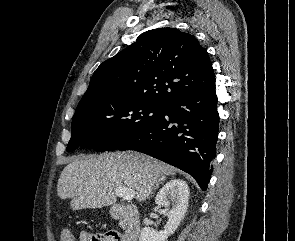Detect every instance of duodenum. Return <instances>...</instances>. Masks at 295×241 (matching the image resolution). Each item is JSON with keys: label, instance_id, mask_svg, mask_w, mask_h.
Returning <instances> with one entry per match:
<instances>
[{"label": "duodenum", "instance_id": "duodenum-1", "mask_svg": "<svg viewBox=\"0 0 295 241\" xmlns=\"http://www.w3.org/2000/svg\"><path fill=\"white\" fill-rule=\"evenodd\" d=\"M111 215L124 220V241H137L141 231V221L135 206L113 205Z\"/></svg>", "mask_w": 295, "mask_h": 241}]
</instances>
